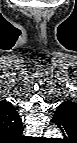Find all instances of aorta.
<instances>
[{"label":"aorta","mask_w":77,"mask_h":143,"mask_svg":"<svg viewBox=\"0 0 77 143\" xmlns=\"http://www.w3.org/2000/svg\"><path fill=\"white\" fill-rule=\"evenodd\" d=\"M54 133H58V130L54 129V130H49L47 132V134H49V135H53Z\"/></svg>","instance_id":"aorta-1"}]
</instances>
